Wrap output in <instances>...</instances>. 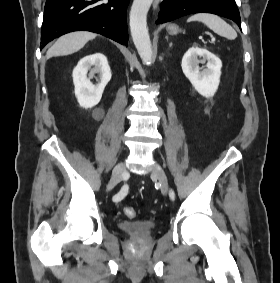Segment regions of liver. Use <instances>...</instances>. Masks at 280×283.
<instances>
[{
    "mask_svg": "<svg viewBox=\"0 0 280 283\" xmlns=\"http://www.w3.org/2000/svg\"><path fill=\"white\" fill-rule=\"evenodd\" d=\"M96 34L88 31H77L60 37L47 51V58L53 56L69 55L79 51L84 45L94 38Z\"/></svg>",
    "mask_w": 280,
    "mask_h": 283,
    "instance_id": "6515ba94",
    "label": "liver"
}]
</instances>
